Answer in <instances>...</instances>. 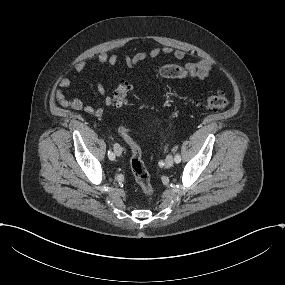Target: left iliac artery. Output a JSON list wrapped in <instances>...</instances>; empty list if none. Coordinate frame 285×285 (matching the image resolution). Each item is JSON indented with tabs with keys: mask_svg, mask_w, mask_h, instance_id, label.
Returning a JSON list of instances; mask_svg holds the SVG:
<instances>
[{
	"mask_svg": "<svg viewBox=\"0 0 285 285\" xmlns=\"http://www.w3.org/2000/svg\"><path fill=\"white\" fill-rule=\"evenodd\" d=\"M174 160H175L176 163H179L181 161V156L177 154L175 156Z\"/></svg>",
	"mask_w": 285,
	"mask_h": 285,
	"instance_id": "obj_1",
	"label": "left iliac artery"
}]
</instances>
